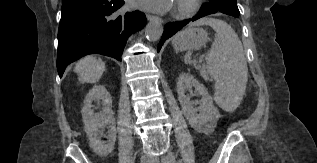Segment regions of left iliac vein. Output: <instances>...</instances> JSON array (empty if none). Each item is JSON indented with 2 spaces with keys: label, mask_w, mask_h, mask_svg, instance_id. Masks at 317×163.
<instances>
[{
  "label": "left iliac vein",
  "mask_w": 317,
  "mask_h": 163,
  "mask_svg": "<svg viewBox=\"0 0 317 163\" xmlns=\"http://www.w3.org/2000/svg\"><path fill=\"white\" fill-rule=\"evenodd\" d=\"M169 163H173V158L171 156L168 157ZM151 163H160L159 159L154 158Z\"/></svg>",
  "instance_id": "1"
}]
</instances>
